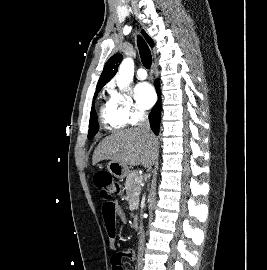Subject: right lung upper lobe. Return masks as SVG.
Returning <instances> with one entry per match:
<instances>
[{"label": "right lung upper lobe", "mask_w": 267, "mask_h": 270, "mask_svg": "<svg viewBox=\"0 0 267 270\" xmlns=\"http://www.w3.org/2000/svg\"><path fill=\"white\" fill-rule=\"evenodd\" d=\"M142 33L149 45L153 47V40L144 31H142ZM122 60L123 57L121 54H115L106 62L103 72L98 81L96 91H100L102 87L113 78Z\"/></svg>", "instance_id": "obj_1"}]
</instances>
